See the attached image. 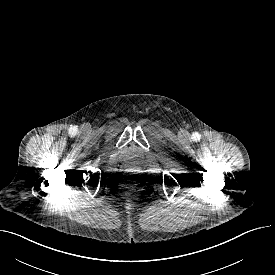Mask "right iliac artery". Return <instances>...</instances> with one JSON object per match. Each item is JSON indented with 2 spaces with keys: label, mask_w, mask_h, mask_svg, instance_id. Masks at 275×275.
<instances>
[{
  "label": "right iliac artery",
  "mask_w": 275,
  "mask_h": 275,
  "mask_svg": "<svg viewBox=\"0 0 275 275\" xmlns=\"http://www.w3.org/2000/svg\"><path fill=\"white\" fill-rule=\"evenodd\" d=\"M71 132H73V133L76 132V129H75V128H72V129H71Z\"/></svg>",
  "instance_id": "1"
}]
</instances>
